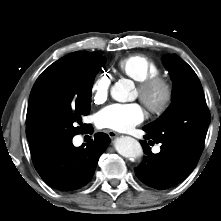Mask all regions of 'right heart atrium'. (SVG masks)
<instances>
[{
    "instance_id": "right-heart-atrium-1",
    "label": "right heart atrium",
    "mask_w": 221,
    "mask_h": 221,
    "mask_svg": "<svg viewBox=\"0 0 221 221\" xmlns=\"http://www.w3.org/2000/svg\"><path fill=\"white\" fill-rule=\"evenodd\" d=\"M111 80L106 73L95 78L91 85L92 100L96 104L104 103L109 95Z\"/></svg>"
}]
</instances>
